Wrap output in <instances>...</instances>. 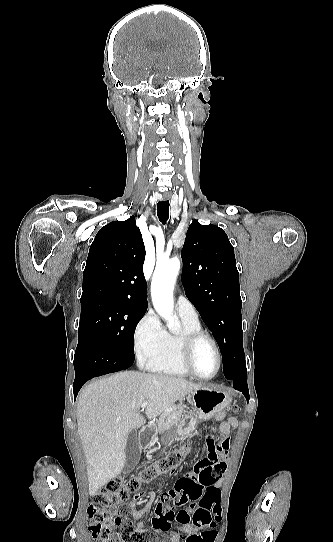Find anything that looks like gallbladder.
Segmentation results:
<instances>
[{
    "label": "gallbladder",
    "mask_w": 333,
    "mask_h": 542,
    "mask_svg": "<svg viewBox=\"0 0 333 542\" xmlns=\"http://www.w3.org/2000/svg\"><path fill=\"white\" fill-rule=\"evenodd\" d=\"M143 444V442H141ZM141 444L137 440V434L135 430H132L128 436L126 448H125V466L123 468V474H129L133 472L135 466H137L141 458Z\"/></svg>",
    "instance_id": "gallbladder-1"
}]
</instances>
